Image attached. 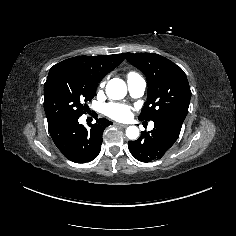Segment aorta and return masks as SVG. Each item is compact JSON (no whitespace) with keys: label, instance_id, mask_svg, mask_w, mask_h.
<instances>
[{"label":"aorta","instance_id":"1","mask_svg":"<svg viewBox=\"0 0 236 236\" xmlns=\"http://www.w3.org/2000/svg\"><path fill=\"white\" fill-rule=\"evenodd\" d=\"M124 86L126 87V84L121 79L115 78V79L110 80L107 84V87H106V93H107L108 97L113 99L114 95H123V93H124L123 87ZM126 92H127V88H126ZM125 133H126V137L131 140L137 139L140 135L139 128L134 125L128 126L126 128Z\"/></svg>","mask_w":236,"mask_h":236}]
</instances>
